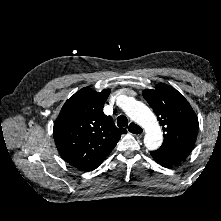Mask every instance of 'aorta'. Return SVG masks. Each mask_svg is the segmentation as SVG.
Segmentation results:
<instances>
[{
	"instance_id": "aorta-1",
	"label": "aorta",
	"mask_w": 221,
	"mask_h": 221,
	"mask_svg": "<svg viewBox=\"0 0 221 221\" xmlns=\"http://www.w3.org/2000/svg\"><path fill=\"white\" fill-rule=\"evenodd\" d=\"M128 117L145 129L144 145L149 150L158 149L163 142V133L154 113L142 102L128 97L123 105Z\"/></svg>"
}]
</instances>
